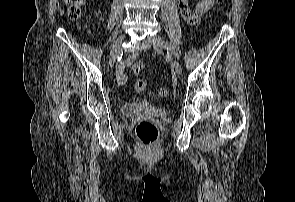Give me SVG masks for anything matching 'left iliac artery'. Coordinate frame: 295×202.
Masks as SVG:
<instances>
[{"label": "left iliac artery", "instance_id": "obj_1", "mask_svg": "<svg viewBox=\"0 0 295 202\" xmlns=\"http://www.w3.org/2000/svg\"><path fill=\"white\" fill-rule=\"evenodd\" d=\"M168 50L171 51V52H173L174 55H175L177 58H179L178 53H177L176 51H174L173 48H172L171 46L168 47Z\"/></svg>", "mask_w": 295, "mask_h": 202}]
</instances>
